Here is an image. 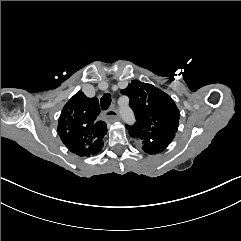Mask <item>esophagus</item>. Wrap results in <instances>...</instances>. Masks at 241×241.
<instances>
[{"label":"esophagus","instance_id":"1","mask_svg":"<svg viewBox=\"0 0 241 241\" xmlns=\"http://www.w3.org/2000/svg\"><path fill=\"white\" fill-rule=\"evenodd\" d=\"M105 115H106V118H109V119H114V120L120 119L117 108H115L113 106L105 112Z\"/></svg>","mask_w":241,"mask_h":241}]
</instances>
